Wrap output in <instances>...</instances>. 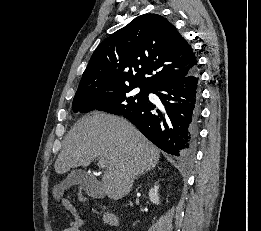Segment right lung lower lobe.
<instances>
[{
    "label": "right lung lower lobe",
    "instance_id": "right-lung-lower-lobe-1",
    "mask_svg": "<svg viewBox=\"0 0 261 231\" xmlns=\"http://www.w3.org/2000/svg\"><path fill=\"white\" fill-rule=\"evenodd\" d=\"M151 92L160 98L161 110L148 101L122 116L163 151L190 158L195 148L199 117L200 81L197 69L185 77L162 82Z\"/></svg>",
    "mask_w": 261,
    "mask_h": 231
}]
</instances>
